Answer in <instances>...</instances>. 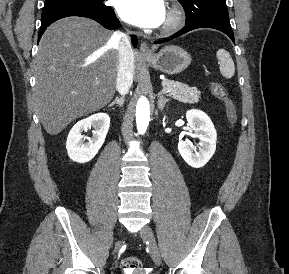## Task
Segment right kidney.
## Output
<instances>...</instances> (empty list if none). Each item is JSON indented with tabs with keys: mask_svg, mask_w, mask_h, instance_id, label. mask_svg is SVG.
<instances>
[{
	"mask_svg": "<svg viewBox=\"0 0 289 274\" xmlns=\"http://www.w3.org/2000/svg\"><path fill=\"white\" fill-rule=\"evenodd\" d=\"M110 126V117L106 113L93 114L77 122L70 130L66 149L71 160L86 163L92 160L102 147ZM92 130V136L85 141L83 131Z\"/></svg>",
	"mask_w": 289,
	"mask_h": 274,
	"instance_id": "ca27d5eb",
	"label": "right kidney"
}]
</instances>
